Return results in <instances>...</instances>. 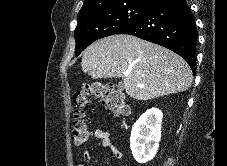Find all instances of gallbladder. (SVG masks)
<instances>
[{
    "label": "gallbladder",
    "mask_w": 227,
    "mask_h": 166,
    "mask_svg": "<svg viewBox=\"0 0 227 166\" xmlns=\"http://www.w3.org/2000/svg\"><path fill=\"white\" fill-rule=\"evenodd\" d=\"M118 87H119L120 89H122V88H123L122 83H119V84H118Z\"/></svg>",
    "instance_id": "gallbladder-1"
}]
</instances>
